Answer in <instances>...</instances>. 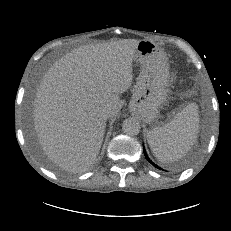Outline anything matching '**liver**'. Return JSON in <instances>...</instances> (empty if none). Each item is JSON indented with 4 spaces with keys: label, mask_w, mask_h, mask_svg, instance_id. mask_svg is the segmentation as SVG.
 <instances>
[{
    "label": "liver",
    "mask_w": 231,
    "mask_h": 231,
    "mask_svg": "<svg viewBox=\"0 0 231 231\" xmlns=\"http://www.w3.org/2000/svg\"><path fill=\"white\" fill-rule=\"evenodd\" d=\"M139 41L122 39L79 47L50 67L37 90L33 121L47 157L75 172L91 166L100 151L108 109H120L119 95L132 84Z\"/></svg>",
    "instance_id": "obj_1"
}]
</instances>
